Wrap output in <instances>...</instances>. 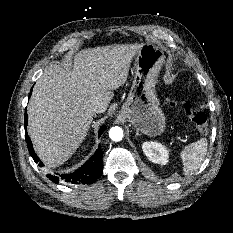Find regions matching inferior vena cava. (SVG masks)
Here are the masks:
<instances>
[{
	"instance_id": "obj_1",
	"label": "inferior vena cava",
	"mask_w": 233,
	"mask_h": 233,
	"mask_svg": "<svg viewBox=\"0 0 233 233\" xmlns=\"http://www.w3.org/2000/svg\"><path fill=\"white\" fill-rule=\"evenodd\" d=\"M93 114H98V109H93Z\"/></svg>"
}]
</instances>
